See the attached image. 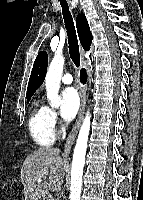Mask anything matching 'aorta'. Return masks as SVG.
Listing matches in <instances>:
<instances>
[{
    "label": "aorta",
    "mask_w": 143,
    "mask_h": 200,
    "mask_svg": "<svg viewBox=\"0 0 143 200\" xmlns=\"http://www.w3.org/2000/svg\"><path fill=\"white\" fill-rule=\"evenodd\" d=\"M65 59L62 55L57 54L52 59L45 79L47 99L52 107H59L61 97L59 96L60 81L64 67ZM89 111L86 113L81 125L76 145L73 152L71 167V185L70 200H80L83 168L85 164V156L87 150L88 137L90 132Z\"/></svg>",
    "instance_id": "762f6f07"
}]
</instances>
